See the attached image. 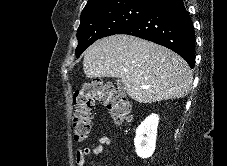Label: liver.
Wrapping results in <instances>:
<instances>
[{
	"label": "liver",
	"instance_id": "6515ba94",
	"mask_svg": "<svg viewBox=\"0 0 227 166\" xmlns=\"http://www.w3.org/2000/svg\"><path fill=\"white\" fill-rule=\"evenodd\" d=\"M88 78H120L127 94L139 103L185 97L193 75L188 63L170 49L129 35H112L84 53Z\"/></svg>",
	"mask_w": 227,
	"mask_h": 166
}]
</instances>
